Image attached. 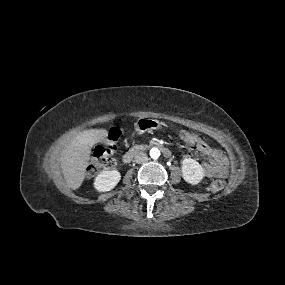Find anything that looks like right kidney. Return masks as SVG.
Segmentation results:
<instances>
[{
    "label": "right kidney",
    "instance_id": "obj_1",
    "mask_svg": "<svg viewBox=\"0 0 285 285\" xmlns=\"http://www.w3.org/2000/svg\"><path fill=\"white\" fill-rule=\"evenodd\" d=\"M121 174L118 170H104L94 180V188L99 192L112 190L120 181Z\"/></svg>",
    "mask_w": 285,
    "mask_h": 285
}]
</instances>
